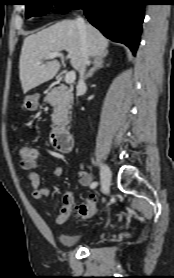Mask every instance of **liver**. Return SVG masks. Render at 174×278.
I'll return each mask as SVG.
<instances>
[{
	"label": "liver",
	"instance_id": "obj_1",
	"mask_svg": "<svg viewBox=\"0 0 174 278\" xmlns=\"http://www.w3.org/2000/svg\"><path fill=\"white\" fill-rule=\"evenodd\" d=\"M88 57L107 54L108 39L92 25H86ZM65 50L71 66H83L80 32L75 20L60 21L24 39L19 59V78L24 93L51 80L61 65L57 60L47 61L48 54Z\"/></svg>",
	"mask_w": 174,
	"mask_h": 278
}]
</instances>
